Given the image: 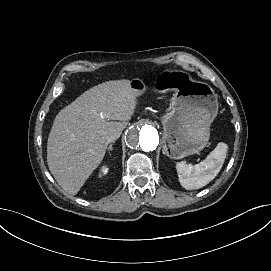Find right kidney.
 <instances>
[{
    "mask_svg": "<svg viewBox=\"0 0 271 271\" xmlns=\"http://www.w3.org/2000/svg\"><path fill=\"white\" fill-rule=\"evenodd\" d=\"M108 172V167L106 165L102 166L100 169V172L98 174V177H102L103 175L107 174Z\"/></svg>",
    "mask_w": 271,
    "mask_h": 271,
    "instance_id": "obj_1",
    "label": "right kidney"
}]
</instances>
